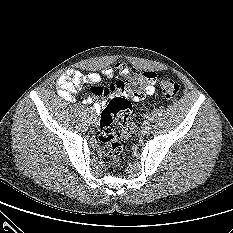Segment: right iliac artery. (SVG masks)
Segmentation results:
<instances>
[{"mask_svg":"<svg viewBox=\"0 0 233 233\" xmlns=\"http://www.w3.org/2000/svg\"><path fill=\"white\" fill-rule=\"evenodd\" d=\"M93 112H94V111H93L92 108H88V109H87L88 115H91V116H92V115H93Z\"/></svg>","mask_w":233,"mask_h":233,"instance_id":"right-iliac-artery-1","label":"right iliac artery"}]
</instances>
